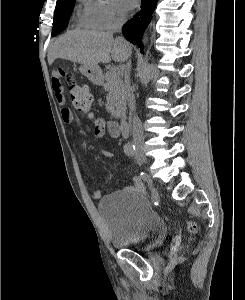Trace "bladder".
Here are the masks:
<instances>
[{
	"instance_id": "31cf9c89",
	"label": "bladder",
	"mask_w": 245,
	"mask_h": 300,
	"mask_svg": "<svg viewBox=\"0 0 245 300\" xmlns=\"http://www.w3.org/2000/svg\"><path fill=\"white\" fill-rule=\"evenodd\" d=\"M98 212L114 248L150 251L161 246L168 236L166 222L140 192L110 193L99 202Z\"/></svg>"
}]
</instances>
